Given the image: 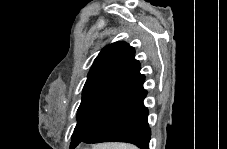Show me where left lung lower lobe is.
<instances>
[{
	"label": "left lung lower lobe",
	"mask_w": 227,
	"mask_h": 149,
	"mask_svg": "<svg viewBox=\"0 0 227 149\" xmlns=\"http://www.w3.org/2000/svg\"><path fill=\"white\" fill-rule=\"evenodd\" d=\"M144 81L139 66L127 89L83 143L127 142L149 149L151 130L147 121L148 109L143 104L147 95Z\"/></svg>",
	"instance_id": "1"
}]
</instances>
